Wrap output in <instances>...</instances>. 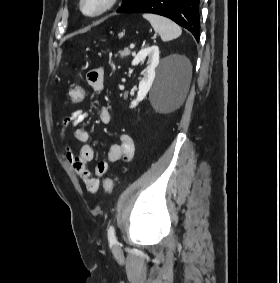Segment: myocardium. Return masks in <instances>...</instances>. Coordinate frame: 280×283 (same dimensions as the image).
<instances>
[{
	"mask_svg": "<svg viewBox=\"0 0 280 283\" xmlns=\"http://www.w3.org/2000/svg\"><path fill=\"white\" fill-rule=\"evenodd\" d=\"M85 2L86 0L79 1V9L81 13L86 17L94 18L99 17L110 11L117 4L118 0H101L100 6L92 12L86 11Z\"/></svg>",
	"mask_w": 280,
	"mask_h": 283,
	"instance_id": "1",
	"label": "myocardium"
}]
</instances>
